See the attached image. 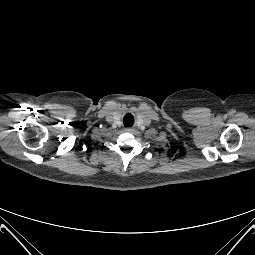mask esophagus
Masks as SVG:
<instances>
[{"label":"esophagus","mask_w":255,"mask_h":255,"mask_svg":"<svg viewBox=\"0 0 255 255\" xmlns=\"http://www.w3.org/2000/svg\"><path fill=\"white\" fill-rule=\"evenodd\" d=\"M131 130H132L131 128H127V129H126L127 132H130Z\"/></svg>","instance_id":"1"}]
</instances>
